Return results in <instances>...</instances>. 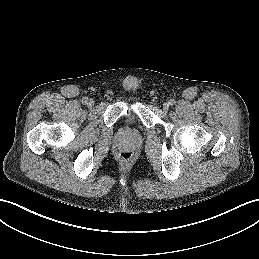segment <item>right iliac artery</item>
<instances>
[{"label": "right iliac artery", "mask_w": 259, "mask_h": 259, "mask_svg": "<svg viewBox=\"0 0 259 259\" xmlns=\"http://www.w3.org/2000/svg\"><path fill=\"white\" fill-rule=\"evenodd\" d=\"M87 102H88V98L84 97V98L82 99V103H83V104H87Z\"/></svg>", "instance_id": "right-iliac-artery-1"}]
</instances>
